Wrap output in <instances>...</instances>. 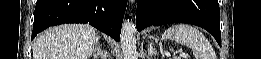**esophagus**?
<instances>
[{
    "label": "esophagus",
    "mask_w": 261,
    "mask_h": 59,
    "mask_svg": "<svg viewBox=\"0 0 261 59\" xmlns=\"http://www.w3.org/2000/svg\"><path fill=\"white\" fill-rule=\"evenodd\" d=\"M131 3H134V0H130Z\"/></svg>",
    "instance_id": "1"
}]
</instances>
